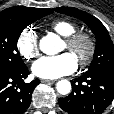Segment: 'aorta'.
<instances>
[{"instance_id": "1", "label": "aorta", "mask_w": 114, "mask_h": 114, "mask_svg": "<svg viewBox=\"0 0 114 114\" xmlns=\"http://www.w3.org/2000/svg\"><path fill=\"white\" fill-rule=\"evenodd\" d=\"M60 43V38L55 35H47L40 40V49L46 54H55L58 49L57 46ZM57 91L66 95L71 91V83L68 80H60L56 85Z\"/></svg>"}]
</instances>
